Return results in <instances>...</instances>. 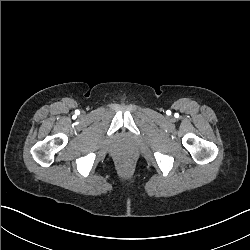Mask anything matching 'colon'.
I'll list each match as a JSON object with an SVG mask.
<instances>
[{
	"mask_svg": "<svg viewBox=\"0 0 250 250\" xmlns=\"http://www.w3.org/2000/svg\"><path fill=\"white\" fill-rule=\"evenodd\" d=\"M136 170V162L131 157H122L117 162V171L121 176L132 175Z\"/></svg>",
	"mask_w": 250,
	"mask_h": 250,
	"instance_id": "5ec220e1",
	"label": "colon"
}]
</instances>
